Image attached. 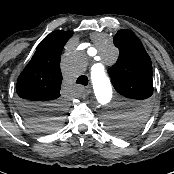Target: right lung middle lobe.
Segmentation results:
<instances>
[{"mask_svg":"<svg viewBox=\"0 0 174 174\" xmlns=\"http://www.w3.org/2000/svg\"><path fill=\"white\" fill-rule=\"evenodd\" d=\"M62 106H56L46 114L37 115L28 120L29 125L37 132H52L58 129L62 124L61 113Z\"/></svg>","mask_w":174,"mask_h":174,"instance_id":"right-lung-middle-lobe-1","label":"right lung middle lobe"}]
</instances>
